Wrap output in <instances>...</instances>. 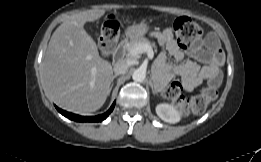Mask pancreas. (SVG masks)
<instances>
[{"instance_id": "1", "label": "pancreas", "mask_w": 261, "mask_h": 162, "mask_svg": "<svg viewBox=\"0 0 261 162\" xmlns=\"http://www.w3.org/2000/svg\"><path fill=\"white\" fill-rule=\"evenodd\" d=\"M138 44H149L151 47H154V43H151L147 38L139 37L126 42L123 45V50L129 52L134 46Z\"/></svg>"}]
</instances>
